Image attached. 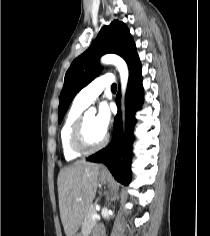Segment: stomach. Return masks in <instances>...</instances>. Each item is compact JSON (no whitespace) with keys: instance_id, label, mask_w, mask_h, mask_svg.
<instances>
[{"instance_id":"1","label":"stomach","mask_w":210,"mask_h":236,"mask_svg":"<svg viewBox=\"0 0 210 236\" xmlns=\"http://www.w3.org/2000/svg\"><path fill=\"white\" fill-rule=\"evenodd\" d=\"M109 180H110L109 175H106V174H103V173H100V174H99V181H100L101 183H106V182H108ZM76 236H78V235H76Z\"/></svg>"}]
</instances>
